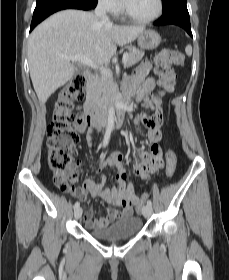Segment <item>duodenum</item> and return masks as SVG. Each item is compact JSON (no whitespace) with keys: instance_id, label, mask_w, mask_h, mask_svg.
<instances>
[{"instance_id":"1","label":"duodenum","mask_w":229,"mask_h":280,"mask_svg":"<svg viewBox=\"0 0 229 280\" xmlns=\"http://www.w3.org/2000/svg\"><path fill=\"white\" fill-rule=\"evenodd\" d=\"M83 76L88 81L90 86L89 97L83 105L84 111L86 113V120L90 127L99 128L101 125L106 123V117L102 113L93 95V85L96 76L92 71L84 72ZM111 104L115 123L118 127H121L125 122L127 100L125 97H123L120 101L113 99Z\"/></svg>"}]
</instances>
